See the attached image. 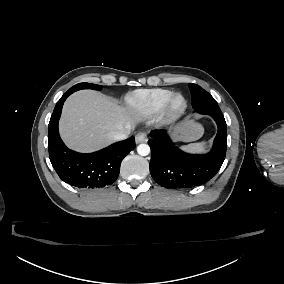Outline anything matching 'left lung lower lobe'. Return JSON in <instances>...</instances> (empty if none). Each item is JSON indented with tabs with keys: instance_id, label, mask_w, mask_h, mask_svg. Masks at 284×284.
Masks as SVG:
<instances>
[{
	"instance_id": "obj_1",
	"label": "left lung lower lobe",
	"mask_w": 284,
	"mask_h": 284,
	"mask_svg": "<svg viewBox=\"0 0 284 284\" xmlns=\"http://www.w3.org/2000/svg\"><path fill=\"white\" fill-rule=\"evenodd\" d=\"M210 115L217 123L218 132L211 151L204 155L187 154L177 148L165 130L150 133V173L161 186L168 189L192 188L209 181L223 164L227 149V125L218 104L194 108Z\"/></svg>"
}]
</instances>
